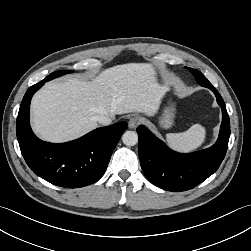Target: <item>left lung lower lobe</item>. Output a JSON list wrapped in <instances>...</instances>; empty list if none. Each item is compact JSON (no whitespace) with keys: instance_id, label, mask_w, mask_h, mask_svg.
I'll return each instance as SVG.
<instances>
[{"instance_id":"left-lung-lower-lobe-1","label":"left lung lower lobe","mask_w":251,"mask_h":251,"mask_svg":"<svg viewBox=\"0 0 251 251\" xmlns=\"http://www.w3.org/2000/svg\"><path fill=\"white\" fill-rule=\"evenodd\" d=\"M199 84L214 92L222 109L220 133L213 146L181 154L169 149L143 125L137 128L141 168L151 183L164 190L180 192L196 187L216 172L228 148L230 121L225 103L210 82Z\"/></svg>"}]
</instances>
